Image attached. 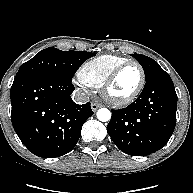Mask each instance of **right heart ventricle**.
<instances>
[{"instance_id": "obj_1", "label": "right heart ventricle", "mask_w": 193, "mask_h": 193, "mask_svg": "<svg viewBox=\"0 0 193 193\" xmlns=\"http://www.w3.org/2000/svg\"><path fill=\"white\" fill-rule=\"evenodd\" d=\"M130 61L117 55H100L86 61L79 69L80 80L93 88H100L107 76L119 65Z\"/></svg>"}]
</instances>
